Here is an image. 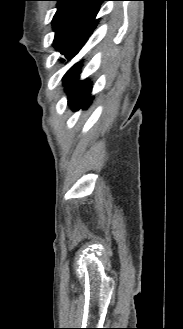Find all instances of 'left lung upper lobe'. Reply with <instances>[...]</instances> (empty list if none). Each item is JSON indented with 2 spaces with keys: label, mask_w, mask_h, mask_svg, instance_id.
<instances>
[{
  "label": "left lung upper lobe",
  "mask_w": 183,
  "mask_h": 329,
  "mask_svg": "<svg viewBox=\"0 0 183 329\" xmlns=\"http://www.w3.org/2000/svg\"><path fill=\"white\" fill-rule=\"evenodd\" d=\"M57 11L52 25L55 31L54 46L69 58L98 24L96 15L101 3L108 0H53ZM64 61V59H62Z\"/></svg>",
  "instance_id": "obj_1"
}]
</instances>
